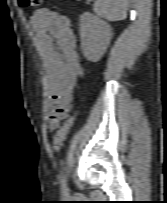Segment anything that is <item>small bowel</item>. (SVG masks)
Masks as SVG:
<instances>
[{"instance_id":"small-bowel-1","label":"small bowel","mask_w":167,"mask_h":203,"mask_svg":"<svg viewBox=\"0 0 167 203\" xmlns=\"http://www.w3.org/2000/svg\"><path fill=\"white\" fill-rule=\"evenodd\" d=\"M31 23L44 69L45 119L47 128L54 130L72 110L75 86L84 70L67 16L41 9L33 14Z\"/></svg>"}]
</instances>
